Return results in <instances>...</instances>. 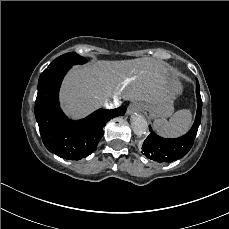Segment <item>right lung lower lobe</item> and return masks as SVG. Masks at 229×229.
I'll return each mask as SVG.
<instances>
[{"label":"right lung lower lobe","mask_w":229,"mask_h":229,"mask_svg":"<svg viewBox=\"0 0 229 229\" xmlns=\"http://www.w3.org/2000/svg\"><path fill=\"white\" fill-rule=\"evenodd\" d=\"M71 65L40 75L35 102V116L45 147L59 157L79 160L90 155L101 137L104 125L124 115L126 107L99 109L81 120L68 119L59 107L58 93L63 77Z\"/></svg>","instance_id":"right-lung-lower-lobe-1"}]
</instances>
